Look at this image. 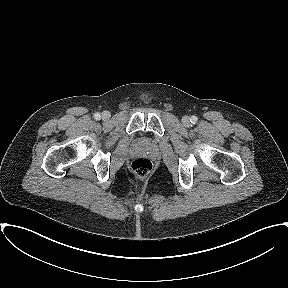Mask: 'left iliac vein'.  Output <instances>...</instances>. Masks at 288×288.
<instances>
[{
    "instance_id": "obj_1",
    "label": "left iliac vein",
    "mask_w": 288,
    "mask_h": 288,
    "mask_svg": "<svg viewBox=\"0 0 288 288\" xmlns=\"http://www.w3.org/2000/svg\"><path fill=\"white\" fill-rule=\"evenodd\" d=\"M182 122H183V124H184L185 126H188V125L190 124V119H189V117H188V116H184V117L182 118Z\"/></svg>"
}]
</instances>
